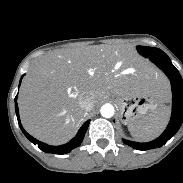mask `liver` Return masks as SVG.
<instances>
[{"label": "liver", "mask_w": 183, "mask_h": 183, "mask_svg": "<svg viewBox=\"0 0 183 183\" xmlns=\"http://www.w3.org/2000/svg\"><path fill=\"white\" fill-rule=\"evenodd\" d=\"M139 67L138 74L117 73ZM110 93L152 94L161 105L170 96L168 80L125 46H87L49 53L35 61L25 76L18 98L26 131L53 145L69 141L86 112L79 105L90 96L93 110Z\"/></svg>", "instance_id": "1"}]
</instances>
